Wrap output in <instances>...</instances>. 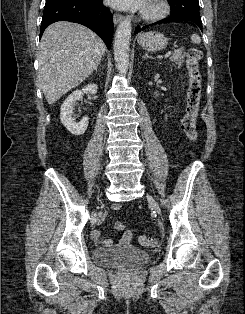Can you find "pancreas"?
<instances>
[{
	"instance_id": "1",
	"label": "pancreas",
	"mask_w": 245,
	"mask_h": 314,
	"mask_svg": "<svg viewBox=\"0 0 245 314\" xmlns=\"http://www.w3.org/2000/svg\"><path fill=\"white\" fill-rule=\"evenodd\" d=\"M184 58H185V53L183 52L182 49H178L170 57V61L174 62L178 66V68H180L183 64Z\"/></svg>"
}]
</instances>
